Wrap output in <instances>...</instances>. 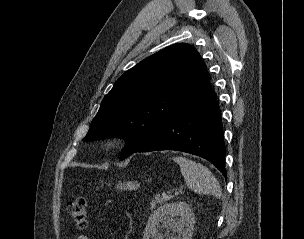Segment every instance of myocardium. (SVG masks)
<instances>
[{
    "label": "myocardium",
    "mask_w": 304,
    "mask_h": 239,
    "mask_svg": "<svg viewBox=\"0 0 304 239\" xmlns=\"http://www.w3.org/2000/svg\"><path fill=\"white\" fill-rule=\"evenodd\" d=\"M119 145H120V140L115 136L107 137L102 141V147L106 150L115 149Z\"/></svg>",
    "instance_id": "1"
}]
</instances>
